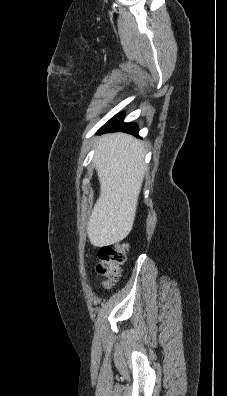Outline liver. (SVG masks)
Here are the masks:
<instances>
[{
	"mask_svg": "<svg viewBox=\"0 0 227 396\" xmlns=\"http://www.w3.org/2000/svg\"><path fill=\"white\" fill-rule=\"evenodd\" d=\"M144 144L124 133L99 138L93 159L100 196L87 224L91 244L102 247L120 242L130 233L146 166Z\"/></svg>",
	"mask_w": 227,
	"mask_h": 396,
	"instance_id": "6515ba94",
	"label": "liver"
}]
</instances>
